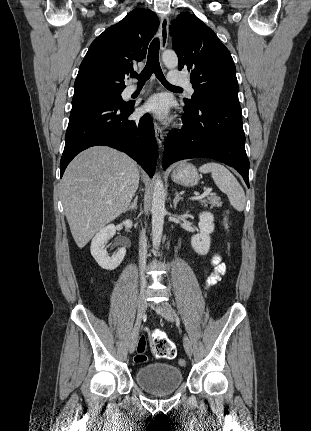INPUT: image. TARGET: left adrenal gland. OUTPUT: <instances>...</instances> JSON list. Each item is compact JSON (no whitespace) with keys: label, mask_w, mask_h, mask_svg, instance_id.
Returning a JSON list of instances; mask_svg holds the SVG:
<instances>
[{"label":"left adrenal gland","mask_w":311,"mask_h":431,"mask_svg":"<svg viewBox=\"0 0 311 431\" xmlns=\"http://www.w3.org/2000/svg\"><path fill=\"white\" fill-rule=\"evenodd\" d=\"M180 200H182L181 196H179V192H175V198L173 200V206L174 208H176L178 202H180Z\"/></svg>","instance_id":"1"}]
</instances>
